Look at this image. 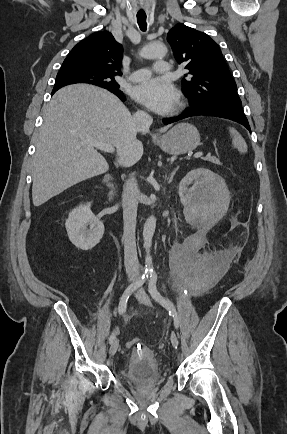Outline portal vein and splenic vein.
Segmentation results:
<instances>
[{
    "instance_id": "obj_1",
    "label": "portal vein and splenic vein",
    "mask_w": 287,
    "mask_h": 434,
    "mask_svg": "<svg viewBox=\"0 0 287 434\" xmlns=\"http://www.w3.org/2000/svg\"><path fill=\"white\" fill-rule=\"evenodd\" d=\"M91 143L96 148H98L99 150H101L103 152L114 153V151H115V148L112 145H110V144L102 143V142H99V141H92ZM202 156H203L202 152H197V153L194 154L195 158H199V157H202Z\"/></svg>"
}]
</instances>
